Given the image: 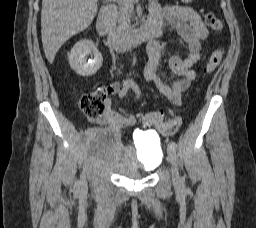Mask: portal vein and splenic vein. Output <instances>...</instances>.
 Segmentation results:
<instances>
[{
  "instance_id": "obj_1",
  "label": "portal vein and splenic vein",
  "mask_w": 256,
  "mask_h": 228,
  "mask_svg": "<svg viewBox=\"0 0 256 228\" xmlns=\"http://www.w3.org/2000/svg\"><path fill=\"white\" fill-rule=\"evenodd\" d=\"M126 1H133V2H138L139 0H126Z\"/></svg>"
}]
</instances>
